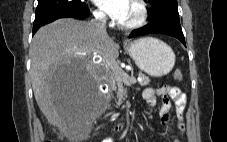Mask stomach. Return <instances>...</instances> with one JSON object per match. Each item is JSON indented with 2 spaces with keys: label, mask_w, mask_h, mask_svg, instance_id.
I'll return each instance as SVG.
<instances>
[{
  "label": "stomach",
  "mask_w": 227,
  "mask_h": 142,
  "mask_svg": "<svg viewBox=\"0 0 227 142\" xmlns=\"http://www.w3.org/2000/svg\"><path fill=\"white\" fill-rule=\"evenodd\" d=\"M125 50L138 68L150 76L162 77L174 67L175 54L166 43L152 37L125 44Z\"/></svg>",
  "instance_id": "0dacf381"
}]
</instances>
